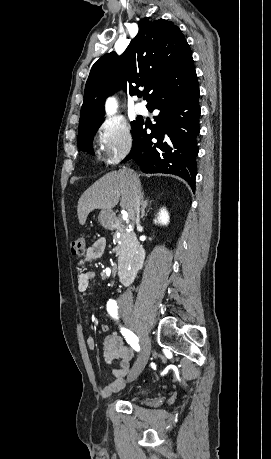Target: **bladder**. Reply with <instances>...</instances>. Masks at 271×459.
Masks as SVG:
<instances>
[{
	"mask_svg": "<svg viewBox=\"0 0 271 459\" xmlns=\"http://www.w3.org/2000/svg\"><path fill=\"white\" fill-rule=\"evenodd\" d=\"M150 389L146 387H140L135 392L132 398L144 397L149 393Z\"/></svg>",
	"mask_w": 271,
	"mask_h": 459,
	"instance_id": "bladder-1",
	"label": "bladder"
}]
</instances>
